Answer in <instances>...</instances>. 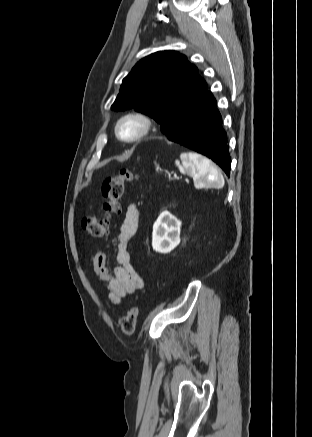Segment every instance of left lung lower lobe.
I'll use <instances>...</instances> for the list:
<instances>
[{"mask_svg":"<svg viewBox=\"0 0 312 437\" xmlns=\"http://www.w3.org/2000/svg\"><path fill=\"white\" fill-rule=\"evenodd\" d=\"M168 139L207 156L228 176L230 175L231 159L226 133L222 128V118L212 94L179 132Z\"/></svg>","mask_w":312,"mask_h":437,"instance_id":"left-lung-lower-lobe-1","label":"left lung lower lobe"}]
</instances>
